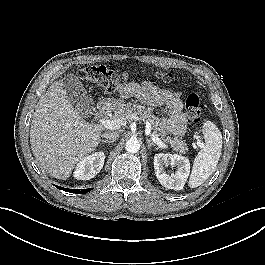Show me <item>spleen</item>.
<instances>
[{
  "label": "spleen",
  "instance_id": "obj_1",
  "mask_svg": "<svg viewBox=\"0 0 265 265\" xmlns=\"http://www.w3.org/2000/svg\"><path fill=\"white\" fill-rule=\"evenodd\" d=\"M205 143L198 152L189 178V186L195 188L203 184L215 171L222 150V134L211 121L203 125Z\"/></svg>",
  "mask_w": 265,
  "mask_h": 265
}]
</instances>
